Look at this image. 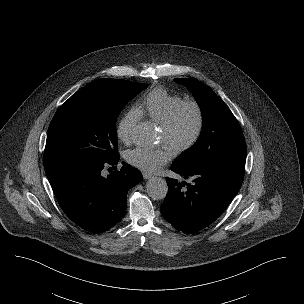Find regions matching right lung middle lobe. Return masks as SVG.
<instances>
[{
	"mask_svg": "<svg viewBox=\"0 0 304 304\" xmlns=\"http://www.w3.org/2000/svg\"><path fill=\"white\" fill-rule=\"evenodd\" d=\"M147 86L120 79H98L73 94L49 126L44 167L118 158L116 119L124 105Z\"/></svg>",
	"mask_w": 304,
	"mask_h": 304,
	"instance_id": "1",
	"label": "right lung middle lobe"
}]
</instances>
